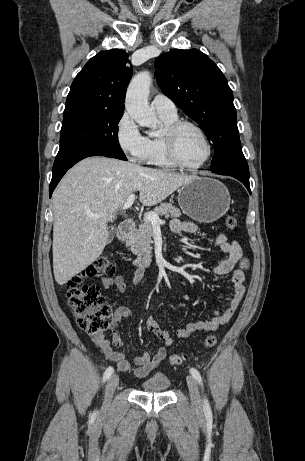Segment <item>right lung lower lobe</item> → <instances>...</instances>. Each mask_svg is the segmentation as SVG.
Here are the masks:
<instances>
[{"label": "right lung lower lobe", "mask_w": 305, "mask_h": 461, "mask_svg": "<svg viewBox=\"0 0 305 461\" xmlns=\"http://www.w3.org/2000/svg\"><path fill=\"white\" fill-rule=\"evenodd\" d=\"M90 156H105L115 158L114 155L99 149H89L85 151H77L70 153L63 157H56L53 165V175L49 188V195L51 197L53 190L55 189L58 182L61 180L63 175L70 169L74 164L80 160Z\"/></svg>", "instance_id": "obj_1"}]
</instances>
